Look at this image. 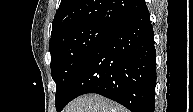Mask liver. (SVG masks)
<instances>
[{"mask_svg": "<svg viewBox=\"0 0 193 112\" xmlns=\"http://www.w3.org/2000/svg\"><path fill=\"white\" fill-rule=\"evenodd\" d=\"M64 112H128V110L98 94H87L70 102Z\"/></svg>", "mask_w": 193, "mask_h": 112, "instance_id": "6515ba94", "label": "liver"}]
</instances>
